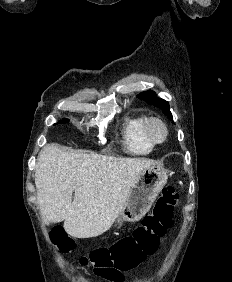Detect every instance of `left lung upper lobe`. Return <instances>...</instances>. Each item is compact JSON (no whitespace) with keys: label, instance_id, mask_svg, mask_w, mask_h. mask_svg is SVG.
I'll use <instances>...</instances> for the list:
<instances>
[{"label":"left lung upper lobe","instance_id":"1","mask_svg":"<svg viewBox=\"0 0 232 282\" xmlns=\"http://www.w3.org/2000/svg\"><path fill=\"white\" fill-rule=\"evenodd\" d=\"M139 99H143L145 100L148 104H152L158 108H160L163 113L171 120L173 121V117L172 114L169 110V104L167 101L160 99L156 96L155 92L149 90V91H145L140 93L137 96Z\"/></svg>","mask_w":232,"mask_h":282}]
</instances>
